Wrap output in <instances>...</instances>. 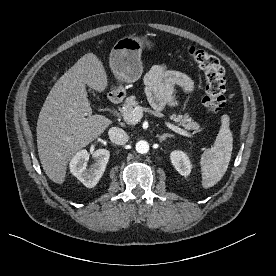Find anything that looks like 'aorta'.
Listing matches in <instances>:
<instances>
[{"instance_id": "obj_1", "label": "aorta", "mask_w": 276, "mask_h": 276, "mask_svg": "<svg viewBox=\"0 0 276 276\" xmlns=\"http://www.w3.org/2000/svg\"><path fill=\"white\" fill-rule=\"evenodd\" d=\"M136 151L140 154H146L149 151V144L145 140H140L136 143Z\"/></svg>"}]
</instances>
